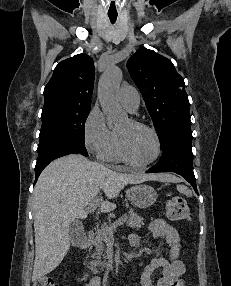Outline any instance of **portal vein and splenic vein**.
<instances>
[{"mask_svg":"<svg viewBox=\"0 0 231 286\" xmlns=\"http://www.w3.org/2000/svg\"><path fill=\"white\" fill-rule=\"evenodd\" d=\"M99 205V199H93L92 202L89 204V206L87 207L88 211H92L94 210L97 206ZM126 218L123 217L117 221H115L110 227H109V232L110 234H113V231L120 225H122L123 223L126 222Z\"/></svg>","mask_w":231,"mask_h":286,"instance_id":"1","label":"portal vein and splenic vein"}]
</instances>
